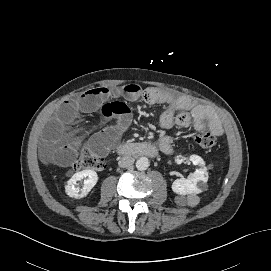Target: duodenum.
<instances>
[{
    "mask_svg": "<svg viewBox=\"0 0 271 271\" xmlns=\"http://www.w3.org/2000/svg\"><path fill=\"white\" fill-rule=\"evenodd\" d=\"M117 152L121 155L134 154L137 156L154 157L157 155L158 150L153 144H141L135 147L122 144L117 147Z\"/></svg>",
    "mask_w": 271,
    "mask_h": 271,
    "instance_id": "1",
    "label": "duodenum"
}]
</instances>
